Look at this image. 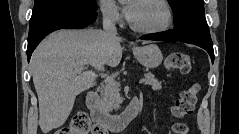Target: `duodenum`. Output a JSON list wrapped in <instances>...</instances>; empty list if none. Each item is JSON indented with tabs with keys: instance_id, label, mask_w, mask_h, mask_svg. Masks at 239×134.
Returning <instances> with one entry per match:
<instances>
[{
	"instance_id": "1",
	"label": "duodenum",
	"mask_w": 239,
	"mask_h": 134,
	"mask_svg": "<svg viewBox=\"0 0 239 134\" xmlns=\"http://www.w3.org/2000/svg\"><path fill=\"white\" fill-rule=\"evenodd\" d=\"M86 105L95 123L107 131L120 132L137 117L141 109L142 100L139 96H135L120 114L110 115L102 107L97 93L91 91L87 94Z\"/></svg>"
}]
</instances>
